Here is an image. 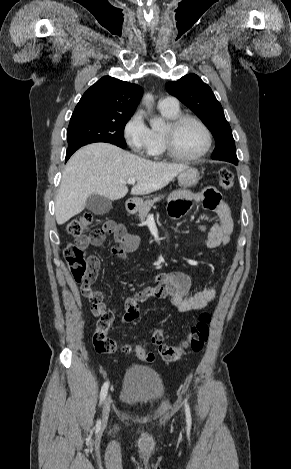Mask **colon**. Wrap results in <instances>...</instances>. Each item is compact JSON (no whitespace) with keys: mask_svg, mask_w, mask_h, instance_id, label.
Returning a JSON list of instances; mask_svg holds the SVG:
<instances>
[{"mask_svg":"<svg viewBox=\"0 0 291 469\" xmlns=\"http://www.w3.org/2000/svg\"><path fill=\"white\" fill-rule=\"evenodd\" d=\"M219 184L223 190H229L233 185V173L226 167L220 168L218 172ZM92 215L84 214L72 219L67 227L68 233L75 237L74 242L65 246L64 256L69 269L77 283L82 285L81 292L92 303V311L99 316L96 324V332L93 335V345L98 353L109 354L116 351L115 341L107 335L114 316L103 302L101 295L93 290L91 285L97 276V267L85 252V247L102 239L101 230L89 232L92 224ZM211 315L208 312L200 314L198 321L191 327L188 334L177 345L165 343L161 328H155L151 341L157 348L159 356L166 362L179 360L186 349L200 352L206 344L211 326ZM125 353H134L139 359L147 362L154 360V355L147 352L141 346H124L121 349Z\"/></svg>","mask_w":291,"mask_h":469,"instance_id":"5ec220e1","label":"colon"}]
</instances>
